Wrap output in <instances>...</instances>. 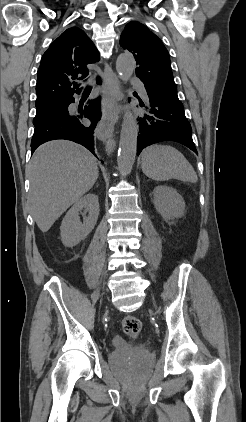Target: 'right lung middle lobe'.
<instances>
[{"mask_svg":"<svg viewBox=\"0 0 246 422\" xmlns=\"http://www.w3.org/2000/svg\"><path fill=\"white\" fill-rule=\"evenodd\" d=\"M61 109L62 105L60 103L43 109H38L36 112V116L33 119V123L41 119L57 115L61 111Z\"/></svg>","mask_w":246,"mask_h":422,"instance_id":"obj_1","label":"right lung middle lobe"}]
</instances>
